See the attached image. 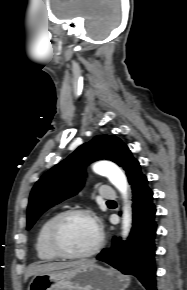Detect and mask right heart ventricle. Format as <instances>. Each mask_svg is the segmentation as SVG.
<instances>
[{"label":"right heart ventricle","mask_w":187,"mask_h":290,"mask_svg":"<svg viewBox=\"0 0 187 290\" xmlns=\"http://www.w3.org/2000/svg\"><path fill=\"white\" fill-rule=\"evenodd\" d=\"M57 214H54L50 217H48L41 225L35 242V250L37 253V256L39 259L43 261H54L58 259V256H56L50 249L48 244V231L50 228L51 223L55 219Z\"/></svg>","instance_id":"obj_1"}]
</instances>
